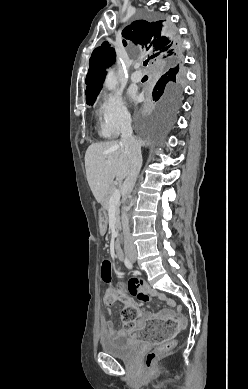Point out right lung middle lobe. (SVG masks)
<instances>
[{"instance_id":"right-lung-middle-lobe-1","label":"right lung middle lobe","mask_w":248,"mask_h":389,"mask_svg":"<svg viewBox=\"0 0 248 389\" xmlns=\"http://www.w3.org/2000/svg\"><path fill=\"white\" fill-rule=\"evenodd\" d=\"M157 17L156 14L152 15ZM183 68L175 64L157 82L153 90V100L157 101V113L148 121L147 133L152 137H159L163 127L168 125L174 117L181 102L183 93ZM100 91L86 98L88 105H93Z\"/></svg>"}]
</instances>
